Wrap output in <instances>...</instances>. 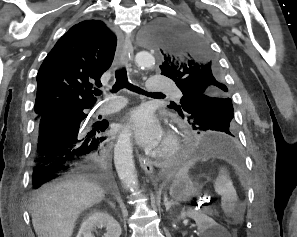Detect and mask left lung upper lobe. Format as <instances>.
<instances>
[{
    "instance_id": "obj_1",
    "label": "left lung upper lobe",
    "mask_w": 297,
    "mask_h": 237,
    "mask_svg": "<svg viewBox=\"0 0 297 237\" xmlns=\"http://www.w3.org/2000/svg\"><path fill=\"white\" fill-rule=\"evenodd\" d=\"M149 34L162 59L161 74L175 81L183 93L180 104L172 107L195 130H216L236 140L230 94L207 43L166 22L154 24Z\"/></svg>"
}]
</instances>
